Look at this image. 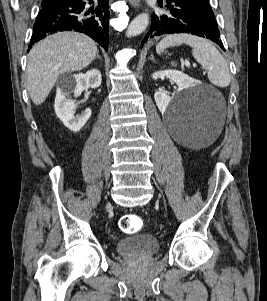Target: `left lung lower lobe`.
I'll return each instance as SVG.
<instances>
[{
    "label": "left lung lower lobe",
    "instance_id": "obj_1",
    "mask_svg": "<svg viewBox=\"0 0 267 301\" xmlns=\"http://www.w3.org/2000/svg\"><path fill=\"white\" fill-rule=\"evenodd\" d=\"M166 7L165 13L152 16L145 41L163 34L187 33L208 38L224 49L214 16L187 0H167Z\"/></svg>",
    "mask_w": 267,
    "mask_h": 301
}]
</instances>
